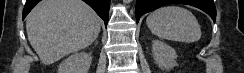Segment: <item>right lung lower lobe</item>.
I'll use <instances>...</instances> for the list:
<instances>
[{
  "mask_svg": "<svg viewBox=\"0 0 244 73\" xmlns=\"http://www.w3.org/2000/svg\"><path fill=\"white\" fill-rule=\"evenodd\" d=\"M41 0H26V4L23 10V19L32 10V8ZM90 5L96 13L104 20L107 26L110 0H83Z\"/></svg>",
  "mask_w": 244,
  "mask_h": 73,
  "instance_id": "1",
  "label": "right lung lower lobe"
}]
</instances>
